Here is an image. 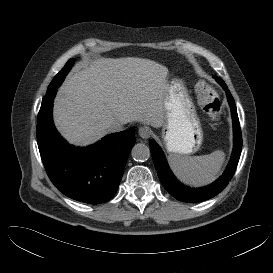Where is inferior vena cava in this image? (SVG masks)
Masks as SVG:
<instances>
[{
	"mask_svg": "<svg viewBox=\"0 0 273 273\" xmlns=\"http://www.w3.org/2000/svg\"><path fill=\"white\" fill-rule=\"evenodd\" d=\"M122 123L115 122L109 126V132H118L122 129Z\"/></svg>",
	"mask_w": 273,
	"mask_h": 273,
	"instance_id": "inferior-vena-cava-1",
	"label": "inferior vena cava"
}]
</instances>
